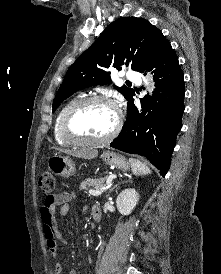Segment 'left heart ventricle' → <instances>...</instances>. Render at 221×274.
I'll return each instance as SVG.
<instances>
[{"label":"left heart ventricle","instance_id":"obj_1","mask_svg":"<svg viewBox=\"0 0 221 274\" xmlns=\"http://www.w3.org/2000/svg\"><path fill=\"white\" fill-rule=\"evenodd\" d=\"M116 115L112 107L93 103L79 108L71 118L73 131L88 138H100L113 128Z\"/></svg>","mask_w":221,"mask_h":274}]
</instances>
